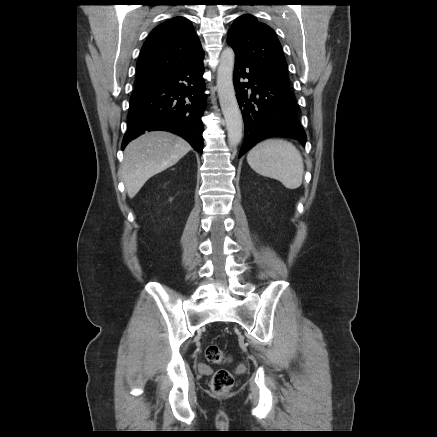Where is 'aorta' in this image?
<instances>
[{"mask_svg": "<svg viewBox=\"0 0 437 437\" xmlns=\"http://www.w3.org/2000/svg\"><path fill=\"white\" fill-rule=\"evenodd\" d=\"M234 63L235 53L231 47H227L220 56L217 70V89L230 146H237L243 135V120L233 85Z\"/></svg>", "mask_w": 437, "mask_h": 437, "instance_id": "1", "label": "aorta"}]
</instances>
